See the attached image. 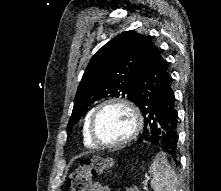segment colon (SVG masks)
I'll return each instance as SVG.
<instances>
[{"label": "colon", "mask_w": 221, "mask_h": 191, "mask_svg": "<svg viewBox=\"0 0 221 191\" xmlns=\"http://www.w3.org/2000/svg\"><path fill=\"white\" fill-rule=\"evenodd\" d=\"M113 164L112 159L103 157H91L83 159L78 169L72 173L69 179L70 191H89L92 177L106 172ZM104 191H110L104 186Z\"/></svg>", "instance_id": "obj_1"}]
</instances>
